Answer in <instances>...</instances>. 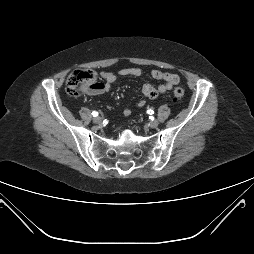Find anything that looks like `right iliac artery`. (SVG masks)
<instances>
[{
	"mask_svg": "<svg viewBox=\"0 0 254 254\" xmlns=\"http://www.w3.org/2000/svg\"><path fill=\"white\" fill-rule=\"evenodd\" d=\"M92 115H93L94 117H96V116H98V112L93 111V112H92Z\"/></svg>",
	"mask_w": 254,
	"mask_h": 254,
	"instance_id": "1",
	"label": "right iliac artery"
}]
</instances>
